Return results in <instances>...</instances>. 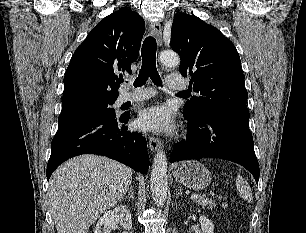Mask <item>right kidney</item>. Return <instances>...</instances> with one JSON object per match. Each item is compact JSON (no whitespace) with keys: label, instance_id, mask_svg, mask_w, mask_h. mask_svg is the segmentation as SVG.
I'll return each instance as SVG.
<instances>
[{"label":"right kidney","instance_id":"obj_1","mask_svg":"<svg viewBox=\"0 0 306 233\" xmlns=\"http://www.w3.org/2000/svg\"><path fill=\"white\" fill-rule=\"evenodd\" d=\"M117 224H120L125 230L132 227L131 214L125 205H119L105 212L98 220L94 233H110Z\"/></svg>","mask_w":306,"mask_h":233}]
</instances>
